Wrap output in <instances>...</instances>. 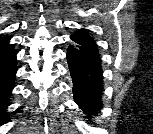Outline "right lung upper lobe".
Masks as SVG:
<instances>
[{"mask_svg": "<svg viewBox=\"0 0 153 134\" xmlns=\"http://www.w3.org/2000/svg\"><path fill=\"white\" fill-rule=\"evenodd\" d=\"M8 42H9V38L4 37V38H2V40L0 41V46H3V45H5V44H7Z\"/></svg>", "mask_w": 153, "mask_h": 134, "instance_id": "1", "label": "right lung upper lobe"}]
</instances>
